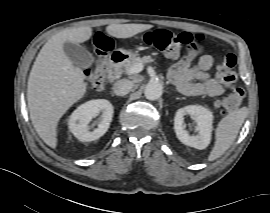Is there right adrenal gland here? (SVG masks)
Here are the masks:
<instances>
[{
	"label": "right adrenal gland",
	"instance_id": "2a0ac1e0",
	"mask_svg": "<svg viewBox=\"0 0 270 213\" xmlns=\"http://www.w3.org/2000/svg\"><path fill=\"white\" fill-rule=\"evenodd\" d=\"M111 96H114V94H113V93H111Z\"/></svg>",
	"mask_w": 270,
	"mask_h": 213
}]
</instances>
